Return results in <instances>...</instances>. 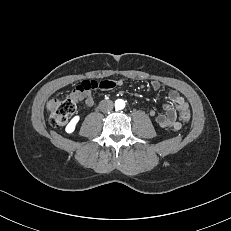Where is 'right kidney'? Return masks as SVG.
Returning a JSON list of instances; mask_svg holds the SVG:
<instances>
[{"instance_id":"obj_1","label":"right kidney","mask_w":231,"mask_h":231,"mask_svg":"<svg viewBox=\"0 0 231 231\" xmlns=\"http://www.w3.org/2000/svg\"><path fill=\"white\" fill-rule=\"evenodd\" d=\"M79 119H80L79 116H75V117L68 123V125L66 126V129H65L67 133H72V132H74L75 127H76V125H77Z\"/></svg>"}]
</instances>
